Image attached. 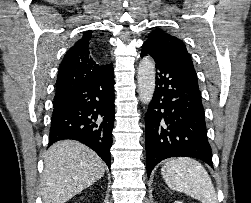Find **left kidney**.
<instances>
[{
  "label": "left kidney",
  "instance_id": "left-kidney-1",
  "mask_svg": "<svg viewBox=\"0 0 251 203\" xmlns=\"http://www.w3.org/2000/svg\"><path fill=\"white\" fill-rule=\"evenodd\" d=\"M175 203H182V202L176 201Z\"/></svg>",
  "mask_w": 251,
  "mask_h": 203
}]
</instances>
